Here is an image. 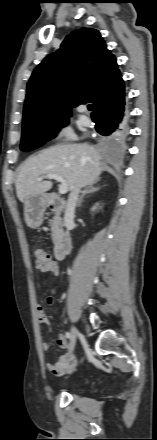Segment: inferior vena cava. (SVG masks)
I'll list each match as a JSON object with an SVG mask.
<instances>
[{
    "label": "inferior vena cava",
    "mask_w": 157,
    "mask_h": 440,
    "mask_svg": "<svg viewBox=\"0 0 157 440\" xmlns=\"http://www.w3.org/2000/svg\"><path fill=\"white\" fill-rule=\"evenodd\" d=\"M80 192V188L76 186L70 193L68 197V202L66 205L65 215H64V225L68 228L73 224L74 220V212L76 203L78 200V194Z\"/></svg>",
    "instance_id": "obj_1"
}]
</instances>
